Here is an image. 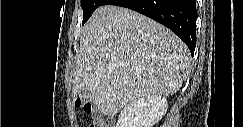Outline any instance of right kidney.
Returning <instances> with one entry per match:
<instances>
[{
	"label": "right kidney",
	"instance_id": "1",
	"mask_svg": "<svg viewBox=\"0 0 243 127\" xmlns=\"http://www.w3.org/2000/svg\"><path fill=\"white\" fill-rule=\"evenodd\" d=\"M167 108V99L161 95L136 99L122 109L116 127H153Z\"/></svg>",
	"mask_w": 243,
	"mask_h": 127
}]
</instances>
